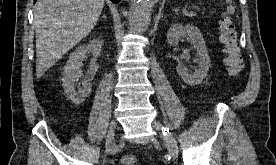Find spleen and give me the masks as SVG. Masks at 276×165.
I'll use <instances>...</instances> for the list:
<instances>
[{
	"instance_id": "obj_1",
	"label": "spleen",
	"mask_w": 276,
	"mask_h": 165,
	"mask_svg": "<svg viewBox=\"0 0 276 165\" xmlns=\"http://www.w3.org/2000/svg\"><path fill=\"white\" fill-rule=\"evenodd\" d=\"M225 1H226V3H232V0H225ZM227 12L229 14H234L235 8L232 5H230V6L227 7Z\"/></svg>"
}]
</instances>
